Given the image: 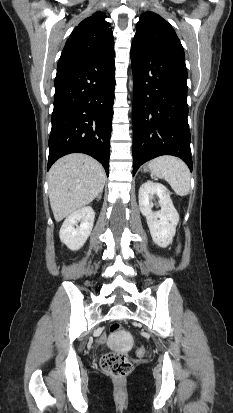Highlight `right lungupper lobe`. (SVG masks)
Returning <instances> with one entry per match:
<instances>
[{"label": "right lung upper lobe", "mask_w": 233, "mask_h": 413, "mask_svg": "<svg viewBox=\"0 0 233 413\" xmlns=\"http://www.w3.org/2000/svg\"><path fill=\"white\" fill-rule=\"evenodd\" d=\"M106 15L96 12L84 19L68 38L58 67L87 60L114 49L113 33Z\"/></svg>", "instance_id": "obj_1"}]
</instances>
